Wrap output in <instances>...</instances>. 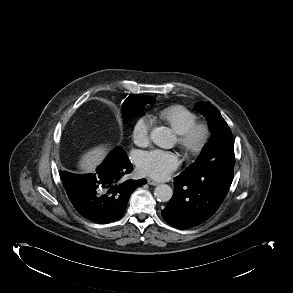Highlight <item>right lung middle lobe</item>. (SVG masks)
Listing matches in <instances>:
<instances>
[{
	"label": "right lung middle lobe",
	"instance_id": "obj_1",
	"mask_svg": "<svg viewBox=\"0 0 293 293\" xmlns=\"http://www.w3.org/2000/svg\"><path fill=\"white\" fill-rule=\"evenodd\" d=\"M129 97H132V102L127 104L125 107L122 108V113L125 119H130L137 115L141 108L146 105L147 103H144L140 100H138L136 95H129Z\"/></svg>",
	"mask_w": 293,
	"mask_h": 293
}]
</instances>
